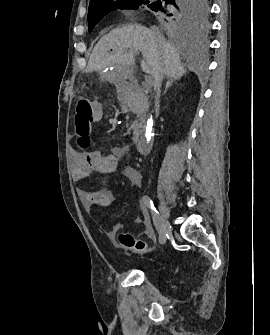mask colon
Wrapping results in <instances>:
<instances>
[{
	"label": "colon",
	"mask_w": 270,
	"mask_h": 335,
	"mask_svg": "<svg viewBox=\"0 0 270 335\" xmlns=\"http://www.w3.org/2000/svg\"><path fill=\"white\" fill-rule=\"evenodd\" d=\"M78 115L75 116L76 134H82L89 137L90 127L94 118L92 109L89 107V101H78ZM80 147H85V142H80ZM119 244L122 248L135 252H146L149 250L145 240L136 238L129 233H122L119 236Z\"/></svg>",
	"instance_id": "1"
}]
</instances>
